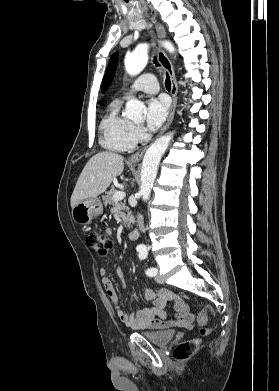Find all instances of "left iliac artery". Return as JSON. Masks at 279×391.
<instances>
[{"instance_id": "1", "label": "left iliac artery", "mask_w": 279, "mask_h": 391, "mask_svg": "<svg viewBox=\"0 0 279 391\" xmlns=\"http://www.w3.org/2000/svg\"><path fill=\"white\" fill-rule=\"evenodd\" d=\"M138 251H139V258H140V260H144V259L147 258V255H148L147 250L139 249ZM145 272H146V275H148L150 277H153V276H155L157 274V269L151 267V268H148Z\"/></svg>"}]
</instances>
